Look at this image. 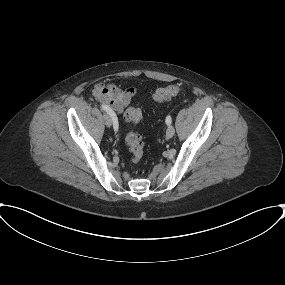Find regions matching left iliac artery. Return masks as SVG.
Listing matches in <instances>:
<instances>
[{
    "label": "left iliac artery",
    "mask_w": 285,
    "mask_h": 285,
    "mask_svg": "<svg viewBox=\"0 0 285 285\" xmlns=\"http://www.w3.org/2000/svg\"><path fill=\"white\" fill-rule=\"evenodd\" d=\"M166 124L167 125H170L171 124V121H172V119H171V116L170 115H168L167 117H166Z\"/></svg>",
    "instance_id": "obj_1"
}]
</instances>
